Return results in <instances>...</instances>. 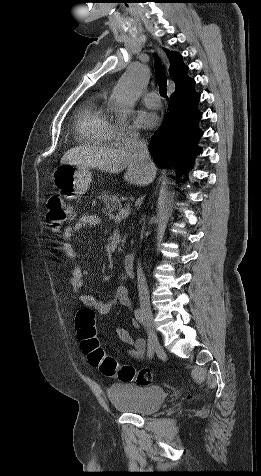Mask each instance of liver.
I'll use <instances>...</instances> for the list:
<instances>
[{
    "mask_svg": "<svg viewBox=\"0 0 261 476\" xmlns=\"http://www.w3.org/2000/svg\"><path fill=\"white\" fill-rule=\"evenodd\" d=\"M61 164L77 165L86 168H97L101 171L116 174L124 169V180L130 184L148 185L156 175V166L148 168L133 157L124 148L107 146H79L68 150L61 158Z\"/></svg>",
    "mask_w": 261,
    "mask_h": 476,
    "instance_id": "6515ba94",
    "label": "liver"
}]
</instances>
